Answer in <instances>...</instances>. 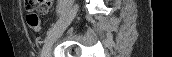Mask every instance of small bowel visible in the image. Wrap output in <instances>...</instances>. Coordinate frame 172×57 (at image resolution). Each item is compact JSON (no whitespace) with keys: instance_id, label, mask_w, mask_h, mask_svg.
Segmentation results:
<instances>
[{"instance_id":"1","label":"small bowel","mask_w":172,"mask_h":57,"mask_svg":"<svg viewBox=\"0 0 172 57\" xmlns=\"http://www.w3.org/2000/svg\"><path fill=\"white\" fill-rule=\"evenodd\" d=\"M53 5V1L52 0H44L43 3H41L40 5H38V10L40 13L46 14L49 9L52 7ZM26 7H29V3L27 1L26 3Z\"/></svg>"}]
</instances>
